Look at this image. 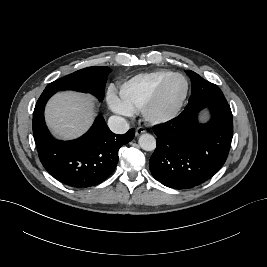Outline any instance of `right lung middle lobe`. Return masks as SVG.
<instances>
[{"label": "right lung middle lobe", "instance_id": "right-lung-middle-lobe-1", "mask_svg": "<svg viewBox=\"0 0 267 267\" xmlns=\"http://www.w3.org/2000/svg\"><path fill=\"white\" fill-rule=\"evenodd\" d=\"M111 69L106 66L87 67L51 82L43 92L74 90L95 95L103 100L107 75Z\"/></svg>", "mask_w": 267, "mask_h": 267}]
</instances>
